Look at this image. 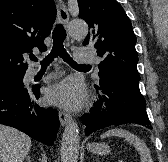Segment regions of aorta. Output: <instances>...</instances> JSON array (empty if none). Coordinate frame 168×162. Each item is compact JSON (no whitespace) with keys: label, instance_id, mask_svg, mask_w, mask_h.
I'll return each instance as SVG.
<instances>
[{"label":"aorta","instance_id":"aorta-1","mask_svg":"<svg viewBox=\"0 0 168 162\" xmlns=\"http://www.w3.org/2000/svg\"><path fill=\"white\" fill-rule=\"evenodd\" d=\"M68 32L72 37L83 38L88 33V26L82 20H72L68 25ZM80 134L78 124L70 120L62 136L61 162H77L79 155Z\"/></svg>","mask_w":168,"mask_h":162}]
</instances>
